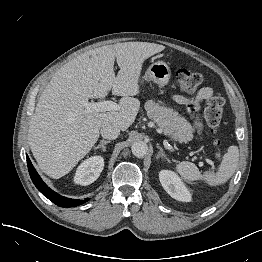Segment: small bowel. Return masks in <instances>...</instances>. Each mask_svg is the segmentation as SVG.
<instances>
[{
    "label": "small bowel",
    "mask_w": 262,
    "mask_h": 262,
    "mask_svg": "<svg viewBox=\"0 0 262 262\" xmlns=\"http://www.w3.org/2000/svg\"><path fill=\"white\" fill-rule=\"evenodd\" d=\"M213 95V89L211 87H202L197 91V93L190 97V98H185L182 96H175V99L183 104L187 105H195L203 102L204 100L210 98Z\"/></svg>",
    "instance_id": "small-bowel-1"
}]
</instances>
